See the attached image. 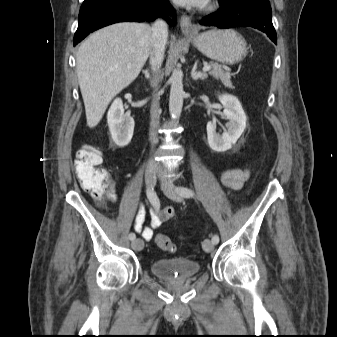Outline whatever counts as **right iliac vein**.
I'll return each instance as SVG.
<instances>
[{"instance_id":"right-iliac-vein-1","label":"right iliac vein","mask_w":337,"mask_h":337,"mask_svg":"<svg viewBox=\"0 0 337 337\" xmlns=\"http://www.w3.org/2000/svg\"><path fill=\"white\" fill-rule=\"evenodd\" d=\"M158 169L155 166H149L145 172V181L149 188H153L156 184ZM143 240L135 239L132 241L131 246L134 250L140 251L143 248Z\"/></svg>"}]
</instances>
